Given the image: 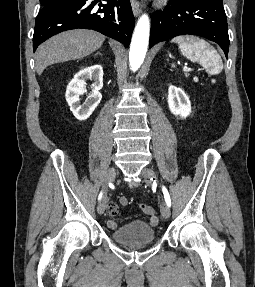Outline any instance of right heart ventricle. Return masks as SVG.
<instances>
[{"mask_svg":"<svg viewBox=\"0 0 255 287\" xmlns=\"http://www.w3.org/2000/svg\"><path fill=\"white\" fill-rule=\"evenodd\" d=\"M113 39H118V38H113ZM103 48H124V47H103Z\"/></svg>","mask_w":255,"mask_h":287,"instance_id":"1","label":"right heart ventricle"}]
</instances>
